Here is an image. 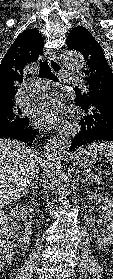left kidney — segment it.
<instances>
[{
  "instance_id": "1",
  "label": "left kidney",
  "mask_w": 113,
  "mask_h": 279,
  "mask_svg": "<svg viewBox=\"0 0 113 279\" xmlns=\"http://www.w3.org/2000/svg\"><path fill=\"white\" fill-rule=\"evenodd\" d=\"M88 200H98L102 204V216L104 217L103 231L100 233L93 228L95 243L99 249H106L113 243V200L94 192L88 193ZM98 223V222H97Z\"/></svg>"
}]
</instances>
